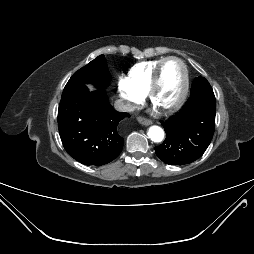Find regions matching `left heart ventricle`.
<instances>
[{
  "label": "left heart ventricle",
  "mask_w": 254,
  "mask_h": 254,
  "mask_svg": "<svg viewBox=\"0 0 254 254\" xmlns=\"http://www.w3.org/2000/svg\"><path fill=\"white\" fill-rule=\"evenodd\" d=\"M183 83V69L177 61L167 62L162 70L160 86L154 97V106L171 105L178 98Z\"/></svg>",
  "instance_id": "obj_1"
}]
</instances>
